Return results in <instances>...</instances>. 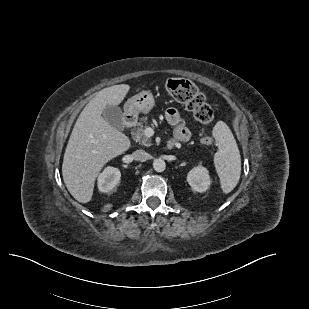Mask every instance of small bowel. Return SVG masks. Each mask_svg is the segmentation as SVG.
<instances>
[{"label": "small bowel", "mask_w": 309, "mask_h": 309, "mask_svg": "<svg viewBox=\"0 0 309 309\" xmlns=\"http://www.w3.org/2000/svg\"><path fill=\"white\" fill-rule=\"evenodd\" d=\"M166 120L174 126L173 139L177 142H186L190 138V131L183 122L179 112L174 108H169L166 111Z\"/></svg>", "instance_id": "obj_1"}]
</instances>
